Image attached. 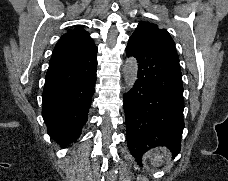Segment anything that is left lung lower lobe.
Masks as SVG:
<instances>
[{
	"mask_svg": "<svg viewBox=\"0 0 228 181\" xmlns=\"http://www.w3.org/2000/svg\"><path fill=\"white\" fill-rule=\"evenodd\" d=\"M126 54L138 61V79L124 95L126 139L131 154L141 163L146 151L166 146L175 157L181 150L184 128L179 58L131 38Z\"/></svg>",
	"mask_w": 228,
	"mask_h": 181,
	"instance_id": "1",
	"label": "left lung lower lobe"
}]
</instances>
